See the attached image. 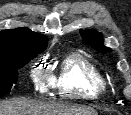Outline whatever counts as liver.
<instances>
[{"label": "liver", "instance_id": "liver-1", "mask_svg": "<svg viewBox=\"0 0 131 115\" xmlns=\"http://www.w3.org/2000/svg\"><path fill=\"white\" fill-rule=\"evenodd\" d=\"M0 115H97L89 107L65 104H43L27 99L0 102Z\"/></svg>", "mask_w": 131, "mask_h": 115}]
</instances>
